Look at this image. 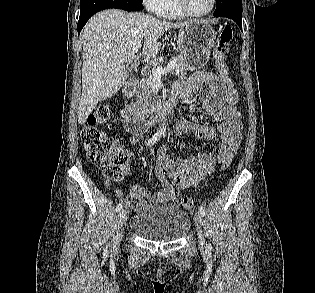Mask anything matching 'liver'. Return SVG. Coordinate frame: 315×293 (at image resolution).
Listing matches in <instances>:
<instances>
[{
    "instance_id": "6515ba94",
    "label": "liver",
    "mask_w": 315,
    "mask_h": 293,
    "mask_svg": "<svg viewBox=\"0 0 315 293\" xmlns=\"http://www.w3.org/2000/svg\"><path fill=\"white\" fill-rule=\"evenodd\" d=\"M189 22L172 23L144 13L118 9L92 17L82 31V95L78 122L83 125L99 101L115 95L127 78L125 62L132 50L141 48L147 61L160 49L159 38L170 28Z\"/></svg>"
}]
</instances>
